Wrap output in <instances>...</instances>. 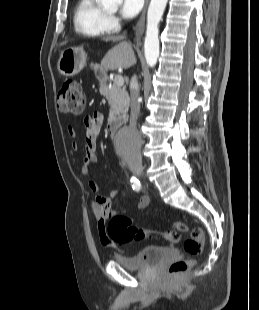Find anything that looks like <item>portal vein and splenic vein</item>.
<instances>
[{"mask_svg":"<svg viewBox=\"0 0 259 310\" xmlns=\"http://www.w3.org/2000/svg\"><path fill=\"white\" fill-rule=\"evenodd\" d=\"M114 84L118 87H121L124 85V78L121 75H117L114 78Z\"/></svg>","mask_w":259,"mask_h":310,"instance_id":"1","label":"portal vein and splenic vein"}]
</instances>
